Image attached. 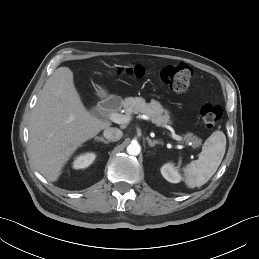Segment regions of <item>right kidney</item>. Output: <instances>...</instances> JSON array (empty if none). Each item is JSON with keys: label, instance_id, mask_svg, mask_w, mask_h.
<instances>
[{"label": "right kidney", "instance_id": "obj_1", "mask_svg": "<svg viewBox=\"0 0 259 259\" xmlns=\"http://www.w3.org/2000/svg\"><path fill=\"white\" fill-rule=\"evenodd\" d=\"M95 153H86L83 155H79L73 162L74 169H84L93 163L95 160Z\"/></svg>", "mask_w": 259, "mask_h": 259}]
</instances>
